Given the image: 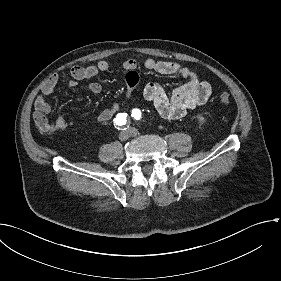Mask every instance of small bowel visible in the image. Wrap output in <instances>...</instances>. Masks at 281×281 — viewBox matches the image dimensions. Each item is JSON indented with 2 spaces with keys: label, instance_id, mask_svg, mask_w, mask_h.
I'll list each match as a JSON object with an SVG mask.
<instances>
[{
  "label": "small bowel",
  "instance_id": "c3829d8e",
  "mask_svg": "<svg viewBox=\"0 0 281 281\" xmlns=\"http://www.w3.org/2000/svg\"><path fill=\"white\" fill-rule=\"evenodd\" d=\"M143 67L160 74L177 75L186 79V82L176 88L170 96L156 83H149L144 87L143 97L165 119L176 120L183 118L188 112L204 104L211 95L212 85L209 82L201 80L194 70L177 62L147 58L143 62ZM109 68L110 63L107 60H101L97 64L86 67L74 66L70 70L69 86L77 87L82 82H89L90 91L94 94H99L102 91V85L94 81L93 78L100 72L109 70ZM123 68L127 72L126 97H129L139 84L138 63L136 60L129 58L123 62ZM61 80H63V77L56 74L49 77L42 87V95H39L34 103V123L44 134L66 130L74 125L73 120L66 119L60 115L55 116L53 121L47 118V114L51 111V106L44 96L52 94ZM120 110V102L113 101L108 108L98 115V121L102 123L108 122Z\"/></svg>",
  "mask_w": 281,
  "mask_h": 281
}]
</instances>
